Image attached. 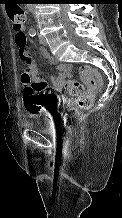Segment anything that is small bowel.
I'll return each instance as SVG.
<instances>
[{
  "label": "small bowel",
  "mask_w": 122,
  "mask_h": 218,
  "mask_svg": "<svg viewBox=\"0 0 122 218\" xmlns=\"http://www.w3.org/2000/svg\"><path fill=\"white\" fill-rule=\"evenodd\" d=\"M22 31L24 32V29H22ZM41 55L50 64L56 65V73L51 79L50 87L56 92H61L64 82L71 76L72 73L71 65L62 64V63L57 64V61L46 50H42ZM26 62H30L28 71L30 73L33 84L36 86L34 102L41 109L42 112L43 108L48 104V93L46 91L48 82L44 78L38 77L37 66L34 62L31 61L30 54H29V60ZM88 86L91 87L92 84L88 83ZM23 100H24V94H23ZM62 100L66 103H71V100H69L66 97H62Z\"/></svg>",
  "instance_id": "obj_1"
}]
</instances>
